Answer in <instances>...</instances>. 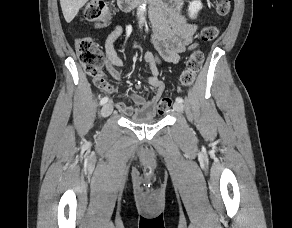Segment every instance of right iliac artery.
Returning <instances> with one entry per match:
<instances>
[{"mask_svg":"<svg viewBox=\"0 0 292 228\" xmlns=\"http://www.w3.org/2000/svg\"><path fill=\"white\" fill-rule=\"evenodd\" d=\"M108 102V97H104L101 99L100 104L103 105Z\"/></svg>","mask_w":292,"mask_h":228,"instance_id":"1","label":"right iliac artery"}]
</instances>
